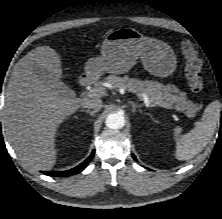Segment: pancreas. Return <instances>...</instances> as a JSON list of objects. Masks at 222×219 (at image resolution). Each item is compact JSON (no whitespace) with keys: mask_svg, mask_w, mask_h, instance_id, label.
<instances>
[{"mask_svg":"<svg viewBox=\"0 0 222 219\" xmlns=\"http://www.w3.org/2000/svg\"><path fill=\"white\" fill-rule=\"evenodd\" d=\"M105 80L118 89L125 88L130 92L145 93L149 97L152 106L157 105V102L160 100H165L166 102L173 104L177 110L185 113L188 117L195 116L196 112L200 110V106H197L191 100H188L186 93L180 92L175 86H165L157 81H142L135 78H129L128 76L118 77L110 75Z\"/></svg>","mask_w":222,"mask_h":219,"instance_id":"pancreas-1","label":"pancreas"}]
</instances>
